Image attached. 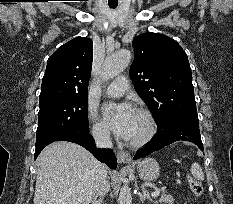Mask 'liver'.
I'll use <instances>...</instances> for the list:
<instances>
[{
  "mask_svg": "<svg viewBox=\"0 0 233 204\" xmlns=\"http://www.w3.org/2000/svg\"><path fill=\"white\" fill-rule=\"evenodd\" d=\"M34 204H90L108 168L86 149L54 142L37 158Z\"/></svg>",
  "mask_w": 233,
  "mask_h": 204,
  "instance_id": "6515ba94",
  "label": "liver"
}]
</instances>
